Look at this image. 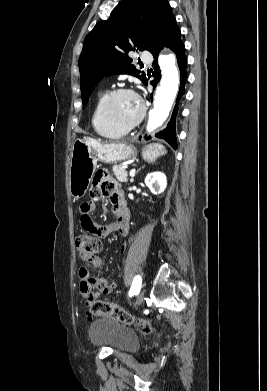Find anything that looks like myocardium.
<instances>
[{
  "label": "myocardium",
  "instance_id": "1",
  "mask_svg": "<svg viewBox=\"0 0 267 391\" xmlns=\"http://www.w3.org/2000/svg\"><path fill=\"white\" fill-rule=\"evenodd\" d=\"M125 93H128V94L135 96L140 104L139 115L137 116V118L134 121H132L129 124H122L119 121H117L113 115V112H112V104H113V101L115 100V98L117 96H119L121 94H125ZM103 111H104V116H105L106 120L113 127H115L116 129L128 132V131L132 130L133 128H135L136 126H138L142 122V120L145 117L146 106H145L144 102L142 101V99L140 98V96L135 91H133L132 89H129V88H125V87H119V88H116L108 93V95L105 99V102H104Z\"/></svg>",
  "mask_w": 267,
  "mask_h": 391
}]
</instances>
